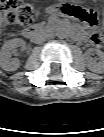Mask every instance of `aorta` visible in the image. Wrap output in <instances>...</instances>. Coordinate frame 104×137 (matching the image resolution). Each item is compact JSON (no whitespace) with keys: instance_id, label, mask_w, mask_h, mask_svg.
Listing matches in <instances>:
<instances>
[{"instance_id":"762f6f07","label":"aorta","mask_w":104,"mask_h":137,"mask_svg":"<svg viewBox=\"0 0 104 137\" xmlns=\"http://www.w3.org/2000/svg\"><path fill=\"white\" fill-rule=\"evenodd\" d=\"M58 35L61 39L67 38L68 37V31L66 29H60L58 31Z\"/></svg>"}]
</instances>
